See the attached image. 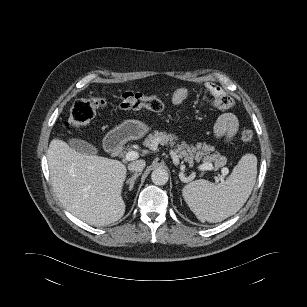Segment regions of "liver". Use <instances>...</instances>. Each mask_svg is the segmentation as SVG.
Listing matches in <instances>:
<instances>
[{
    "label": "liver",
    "instance_id": "liver-1",
    "mask_svg": "<svg viewBox=\"0 0 307 307\" xmlns=\"http://www.w3.org/2000/svg\"><path fill=\"white\" fill-rule=\"evenodd\" d=\"M47 160L54 192L71 214L97 227L124 215L122 162L77 152L58 138L50 142Z\"/></svg>",
    "mask_w": 307,
    "mask_h": 307
}]
</instances>
